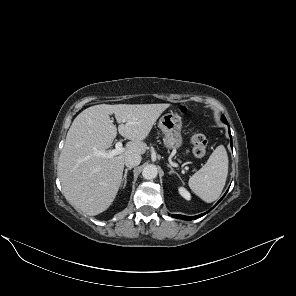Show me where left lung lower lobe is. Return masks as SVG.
I'll list each match as a JSON object with an SVG mask.
<instances>
[{"mask_svg": "<svg viewBox=\"0 0 296 296\" xmlns=\"http://www.w3.org/2000/svg\"><path fill=\"white\" fill-rule=\"evenodd\" d=\"M222 121L226 124L227 123V120L226 118L225 119H222ZM229 134H230V137H231V141H232V136H231V133H230V130H229ZM224 197V196H223ZM222 197V198H223ZM222 198L218 201V203L222 200ZM217 203V204H218ZM209 211L203 213V214H200V215H197V216H184V215H172L174 218H178V219H183V220H195V219H198L200 217H202L203 215H205L206 213H208Z\"/></svg>", "mask_w": 296, "mask_h": 296, "instance_id": "1", "label": "left lung lower lobe"}]
</instances>
